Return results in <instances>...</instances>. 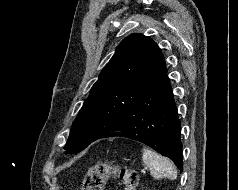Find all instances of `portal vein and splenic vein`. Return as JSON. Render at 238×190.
I'll return each instance as SVG.
<instances>
[{
	"label": "portal vein and splenic vein",
	"instance_id": "obj_1",
	"mask_svg": "<svg viewBox=\"0 0 238 190\" xmlns=\"http://www.w3.org/2000/svg\"><path fill=\"white\" fill-rule=\"evenodd\" d=\"M145 170H146V169H142L141 172H142V173H145V172H146Z\"/></svg>",
	"mask_w": 238,
	"mask_h": 190
}]
</instances>
